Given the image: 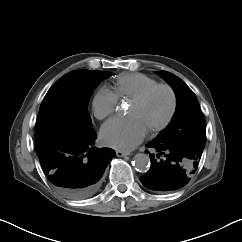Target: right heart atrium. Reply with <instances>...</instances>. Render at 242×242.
Returning a JSON list of instances; mask_svg holds the SVG:
<instances>
[{
  "mask_svg": "<svg viewBox=\"0 0 242 242\" xmlns=\"http://www.w3.org/2000/svg\"><path fill=\"white\" fill-rule=\"evenodd\" d=\"M119 100L116 93L107 87H101L92 99V110L99 120L112 115L118 108Z\"/></svg>",
  "mask_w": 242,
  "mask_h": 242,
  "instance_id": "obj_1",
  "label": "right heart atrium"
}]
</instances>
